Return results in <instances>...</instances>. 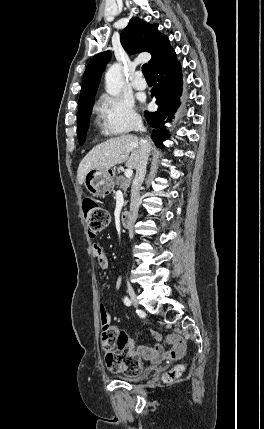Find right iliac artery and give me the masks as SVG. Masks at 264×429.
I'll return each mask as SVG.
<instances>
[{"label":"right iliac artery","instance_id":"82829eb1","mask_svg":"<svg viewBox=\"0 0 264 429\" xmlns=\"http://www.w3.org/2000/svg\"><path fill=\"white\" fill-rule=\"evenodd\" d=\"M124 304L126 305V306H131V300L128 298V297H125L124 298Z\"/></svg>","mask_w":264,"mask_h":429}]
</instances>
